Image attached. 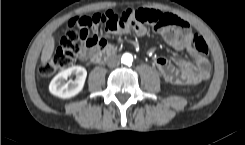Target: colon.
Instances as JSON below:
<instances>
[{"label": "colon", "instance_id": "1", "mask_svg": "<svg viewBox=\"0 0 245 145\" xmlns=\"http://www.w3.org/2000/svg\"><path fill=\"white\" fill-rule=\"evenodd\" d=\"M179 19L170 14L155 9H126L123 11L106 10L92 15H80L72 18L67 24L65 33L60 40L58 48L52 56L40 67L43 76L69 67L75 56L79 55L83 46L94 47L98 37L91 31L96 25H105L109 30L127 31L140 27H175ZM193 47L202 55L208 53V46L204 38L197 34L192 40ZM209 69L206 66L203 74L206 76Z\"/></svg>", "mask_w": 245, "mask_h": 145}]
</instances>
